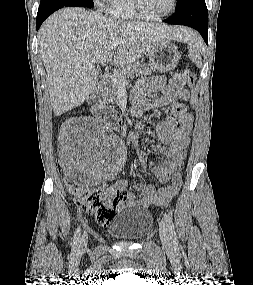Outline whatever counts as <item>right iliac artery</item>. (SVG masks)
<instances>
[{
	"label": "right iliac artery",
	"instance_id": "1",
	"mask_svg": "<svg viewBox=\"0 0 253 285\" xmlns=\"http://www.w3.org/2000/svg\"><path fill=\"white\" fill-rule=\"evenodd\" d=\"M79 237H80V227H78L75 231L74 234V239H73V247L77 248L78 242H79Z\"/></svg>",
	"mask_w": 253,
	"mask_h": 285
}]
</instances>
